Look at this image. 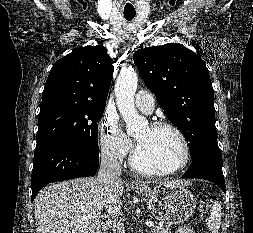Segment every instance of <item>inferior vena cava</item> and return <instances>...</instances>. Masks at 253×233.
I'll return each instance as SVG.
<instances>
[{
  "label": "inferior vena cava",
  "instance_id": "obj_1",
  "mask_svg": "<svg viewBox=\"0 0 253 233\" xmlns=\"http://www.w3.org/2000/svg\"><path fill=\"white\" fill-rule=\"evenodd\" d=\"M121 175V166L113 151L104 150L101 152V163L97 180L103 187L106 197V210L110 215H118L121 205L117 186Z\"/></svg>",
  "mask_w": 253,
  "mask_h": 233
}]
</instances>
